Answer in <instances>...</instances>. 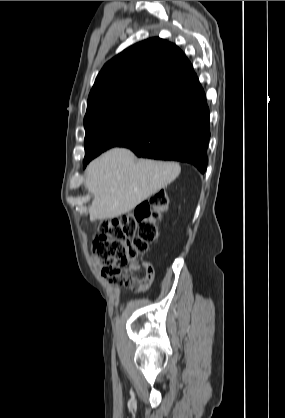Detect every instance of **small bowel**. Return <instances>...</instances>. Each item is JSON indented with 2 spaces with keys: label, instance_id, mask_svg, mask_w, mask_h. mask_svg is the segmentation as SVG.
Segmentation results:
<instances>
[{
  "label": "small bowel",
  "instance_id": "1",
  "mask_svg": "<svg viewBox=\"0 0 285 418\" xmlns=\"http://www.w3.org/2000/svg\"><path fill=\"white\" fill-rule=\"evenodd\" d=\"M92 262L98 268H100V261H99L98 258L93 257ZM142 265L144 267V273L141 277L137 278V277L133 276L132 273H130V275H124L121 278L122 282L129 281L128 284L125 285L127 288H129V289H134V288L146 289L151 285V283L154 279V276H155L154 268L149 263H143Z\"/></svg>",
  "mask_w": 285,
  "mask_h": 418
}]
</instances>
